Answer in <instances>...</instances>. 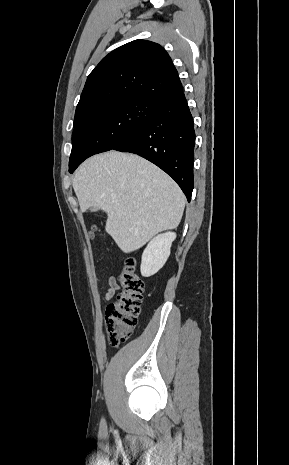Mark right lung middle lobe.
<instances>
[{
    "label": "right lung middle lobe",
    "mask_w": 289,
    "mask_h": 465,
    "mask_svg": "<svg viewBox=\"0 0 289 465\" xmlns=\"http://www.w3.org/2000/svg\"><path fill=\"white\" fill-rule=\"evenodd\" d=\"M157 109L147 100H127L96 110L73 125L69 170L86 158L113 149L146 123Z\"/></svg>",
    "instance_id": "1"
}]
</instances>
